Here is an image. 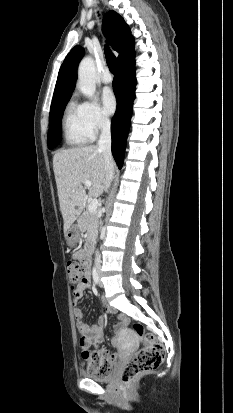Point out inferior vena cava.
I'll list each match as a JSON object with an SVG mask.
<instances>
[{
	"mask_svg": "<svg viewBox=\"0 0 233 413\" xmlns=\"http://www.w3.org/2000/svg\"><path fill=\"white\" fill-rule=\"evenodd\" d=\"M98 148L103 152L107 168L105 190L110 187L114 174V161L111 153V125L108 118H103L101 122V135L98 141ZM95 265L100 268V256L97 254Z\"/></svg>",
	"mask_w": 233,
	"mask_h": 413,
	"instance_id": "1",
	"label": "inferior vena cava"
}]
</instances>
